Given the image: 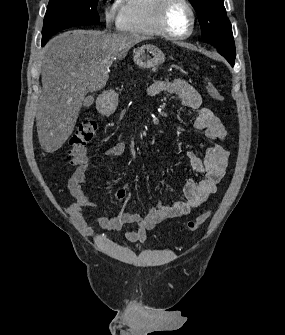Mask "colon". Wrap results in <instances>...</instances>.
<instances>
[{
  "label": "colon",
  "instance_id": "5ec220e1",
  "mask_svg": "<svg viewBox=\"0 0 285 335\" xmlns=\"http://www.w3.org/2000/svg\"><path fill=\"white\" fill-rule=\"evenodd\" d=\"M204 87L210 97L217 101H222L223 96L216 87L206 78L203 79ZM97 131V123L94 120L82 122L72 135L70 140L69 162L72 165H83L86 162V145L91 142ZM211 212L205 211L195 219L186 224L188 231L197 230L209 218Z\"/></svg>",
  "mask_w": 285,
  "mask_h": 335
}]
</instances>
